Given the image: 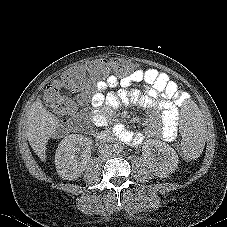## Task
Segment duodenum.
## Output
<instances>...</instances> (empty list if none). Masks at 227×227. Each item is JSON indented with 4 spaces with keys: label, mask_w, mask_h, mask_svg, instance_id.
<instances>
[{
    "label": "duodenum",
    "mask_w": 227,
    "mask_h": 227,
    "mask_svg": "<svg viewBox=\"0 0 227 227\" xmlns=\"http://www.w3.org/2000/svg\"><path fill=\"white\" fill-rule=\"evenodd\" d=\"M109 138H110L109 134H106V133L97 134V139L100 140V141H105V140H107Z\"/></svg>",
    "instance_id": "obj_1"
}]
</instances>
